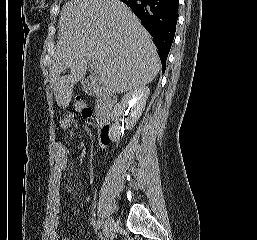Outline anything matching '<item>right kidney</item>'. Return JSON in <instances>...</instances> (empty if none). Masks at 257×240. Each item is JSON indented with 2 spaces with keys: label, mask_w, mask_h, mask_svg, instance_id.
I'll list each match as a JSON object with an SVG mask.
<instances>
[{
  "label": "right kidney",
  "mask_w": 257,
  "mask_h": 240,
  "mask_svg": "<svg viewBox=\"0 0 257 240\" xmlns=\"http://www.w3.org/2000/svg\"><path fill=\"white\" fill-rule=\"evenodd\" d=\"M149 93V88L145 86L130 90L124 95L121 102L115 106L113 119L117 121L129 105L130 114L126 120V129H132L145 109ZM110 134L112 141L116 142L121 138L122 128L115 123L111 127Z\"/></svg>",
  "instance_id": "ca27d5eb"
}]
</instances>
